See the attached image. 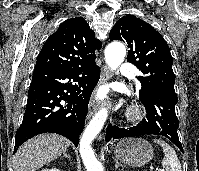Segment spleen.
<instances>
[{
  "label": "spleen",
  "mask_w": 199,
  "mask_h": 171,
  "mask_svg": "<svg viewBox=\"0 0 199 171\" xmlns=\"http://www.w3.org/2000/svg\"><path fill=\"white\" fill-rule=\"evenodd\" d=\"M154 142L158 143L162 147L164 153L162 166L166 169V171H182L181 164L175 150L162 140L155 139Z\"/></svg>",
  "instance_id": "1"
}]
</instances>
